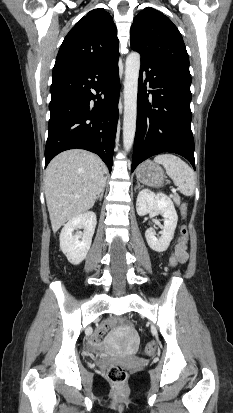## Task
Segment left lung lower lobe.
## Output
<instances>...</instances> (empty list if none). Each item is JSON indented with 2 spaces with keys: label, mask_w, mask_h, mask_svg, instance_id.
Wrapping results in <instances>:
<instances>
[{
  "label": "left lung lower lobe",
  "mask_w": 233,
  "mask_h": 413,
  "mask_svg": "<svg viewBox=\"0 0 233 413\" xmlns=\"http://www.w3.org/2000/svg\"><path fill=\"white\" fill-rule=\"evenodd\" d=\"M190 85L180 74L141 58L132 172L142 161L163 152L185 157L195 170ZM147 87L152 88L151 96Z\"/></svg>",
  "instance_id": "1"
}]
</instances>
